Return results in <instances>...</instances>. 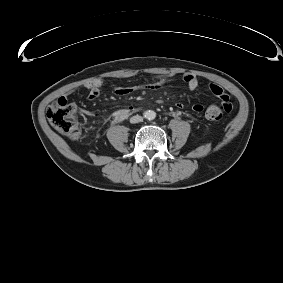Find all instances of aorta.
Masks as SVG:
<instances>
[{"label":"aorta","mask_w":283,"mask_h":283,"mask_svg":"<svg viewBox=\"0 0 283 283\" xmlns=\"http://www.w3.org/2000/svg\"><path fill=\"white\" fill-rule=\"evenodd\" d=\"M156 117V112H154L153 110H148L145 112V118H147L148 120H153Z\"/></svg>","instance_id":"aorta-1"}]
</instances>
